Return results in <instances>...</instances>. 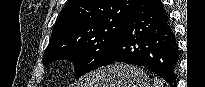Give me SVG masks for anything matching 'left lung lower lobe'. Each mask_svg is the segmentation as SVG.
<instances>
[{
    "label": "left lung lower lobe",
    "instance_id": "1",
    "mask_svg": "<svg viewBox=\"0 0 205 87\" xmlns=\"http://www.w3.org/2000/svg\"><path fill=\"white\" fill-rule=\"evenodd\" d=\"M179 59L169 16L160 0H137L129 13L114 49L102 66L127 63L144 66L176 86Z\"/></svg>",
    "mask_w": 205,
    "mask_h": 87
}]
</instances>
